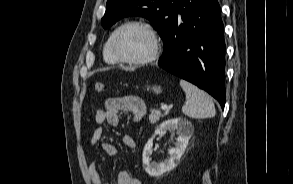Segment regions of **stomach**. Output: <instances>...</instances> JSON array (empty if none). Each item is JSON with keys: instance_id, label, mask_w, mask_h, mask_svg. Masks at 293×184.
Masks as SVG:
<instances>
[{"instance_id": "stomach-1", "label": "stomach", "mask_w": 293, "mask_h": 184, "mask_svg": "<svg viewBox=\"0 0 293 184\" xmlns=\"http://www.w3.org/2000/svg\"><path fill=\"white\" fill-rule=\"evenodd\" d=\"M148 89H150V87H148ZM155 93L159 94L162 92L161 87L160 86H153L151 88Z\"/></svg>"}]
</instances>
